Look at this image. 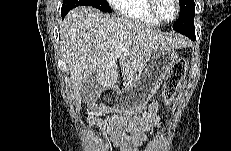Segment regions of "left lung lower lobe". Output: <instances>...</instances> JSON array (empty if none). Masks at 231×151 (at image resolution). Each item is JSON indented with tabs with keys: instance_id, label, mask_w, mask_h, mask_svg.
Masks as SVG:
<instances>
[{
	"instance_id": "obj_1",
	"label": "left lung lower lobe",
	"mask_w": 231,
	"mask_h": 151,
	"mask_svg": "<svg viewBox=\"0 0 231 151\" xmlns=\"http://www.w3.org/2000/svg\"><path fill=\"white\" fill-rule=\"evenodd\" d=\"M187 36L191 38L192 40H195V32H191Z\"/></svg>"
}]
</instances>
